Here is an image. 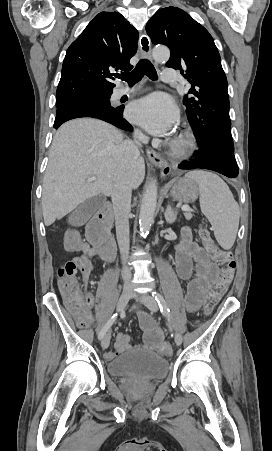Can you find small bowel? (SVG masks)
I'll return each mask as SVG.
<instances>
[{
    "mask_svg": "<svg viewBox=\"0 0 272 451\" xmlns=\"http://www.w3.org/2000/svg\"><path fill=\"white\" fill-rule=\"evenodd\" d=\"M72 250L79 252L78 256H81L83 261H92L98 254L95 247L89 245L87 242H83L82 249ZM92 264L94 271L95 264L93 261ZM212 266L217 267L216 257L205 247H201L193 242L190 228L183 227L181 230V239L175 247L174 267L179 278L186 283L185 307L188 311L197 310L200 298L208 291V285L210 283L208 272ZM90 275L82 274L84 284L88 282ZM73 312L77 315V311ZM90 313L87 314L90 315ZM140 324L145 333L144 343L141 347L144 349L156 348L163 340L161 330L146 315H141ZM128 349H130L128 336L123 333H118L115 337L114 350L107 352L105 358L111 360Z\"/></svg>",
    "mask_w": 272,
    "mask_h": 451,
    "instance_id": "small-bowel-1",
    "label": "small bowel"
}]
</instances>
